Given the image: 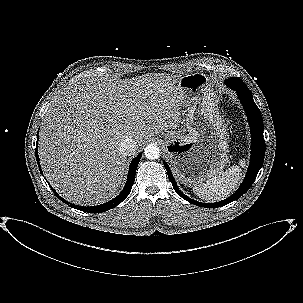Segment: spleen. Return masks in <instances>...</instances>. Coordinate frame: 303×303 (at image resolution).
<instances>
[{
	"label": "spleen",
	"instance_id": "1",
	"mask_svg": "<svg viewBox=\"0 0 303 303\" xmlns=\"http://www.w3.org/2000/svg\"><path fill=\"white\" fill-rule=\"evenodd\" d=\"M246 167L245 159L239 161V166H231L220 173L193 187V192L201 199L215 202L226 198L235 189L242 176V169Z\"/></svg>",
	"mask_w": 303,
	"mask_h": 303
}]
</instances>
